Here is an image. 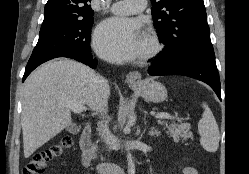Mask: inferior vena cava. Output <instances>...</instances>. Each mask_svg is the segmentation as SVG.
<instances>
[{"mask_svg":"<svg viewBox=\"0 0 249 174\" xmlns=\"http://www.w3.org/2000/svg\"><path fill=\"white\" fill-rule=\"evenodd\" d=\"M97 84L100 92V101H101V107L99 108V113L103 115V120L98 123L97 130L99 131V135L103 140L110 146V131L107 125V121L104 120V115L107 114V94L109 90L108 81L101 77H97ZM111 148V147H109Z\"/></svg>","mask_w":249,"mask_h":174,"instance_id":"inferior-vena-cava-1","label":"inferior vena cava"}]
</instances>
